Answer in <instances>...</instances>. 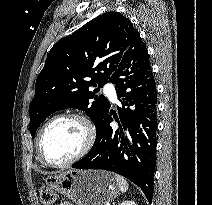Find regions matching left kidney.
<instances>
[{
	"label": "left kidney",
	"mask_w": 212,
	"mask_h": 205,
	"mask_svg": "<svg viewBox=\"0 0 212 205\" xmlns=\"http://www.w3.org/2000/svg\"><path fill=\"white\" fill-rule=\"evenodd\" d=\"M119 205H136L134 201L132 200H126L120 203Z\"/></svg>",
	"instance_id": "1"
}]
</instances>
